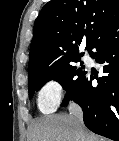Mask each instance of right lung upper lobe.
Returning a JSON list of instances; mask_svg holds the SVG:
<instances>
[{
    "label": "right lung upper lobe",
    "instance_id": "obj_1",
    "mask_svg": "<svg viewBox=\"0 0 119 141\" xmlns=\"http://www.w3.org/2000/svg\"><path fill=\"white\" fill-rule=\"evenodd\" d=\"M117 19L119 0L49 1L34 23L28 75L80 57L81 41L89 51L103 28Z\"/></svg>",
    "mask_w": 119,
    "mask_h": 141
}]
</instances>
